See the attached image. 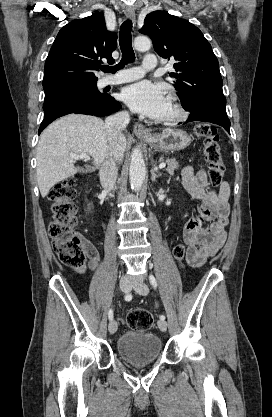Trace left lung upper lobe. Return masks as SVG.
Segmentation results:
<instances>
[{
	"label": "left lung upper lobe",
	"instance_id": "5c2ea615",
	"mask_svg": "<svg viewBox=\"0 0 272 417\" xmlns=\"http://www.w3.org/2000/svg\"><path fill=\"white\" fill-rule=\"evenodd\" d=\"M140 33L149 35L155 51L174 59V87L185 110L226 116L219 63L210 43L192 23L165 11H154L145 18Z\"/></svg>",
	"mask_w": 272,
	"mask_h": 417
}]
</instances>
